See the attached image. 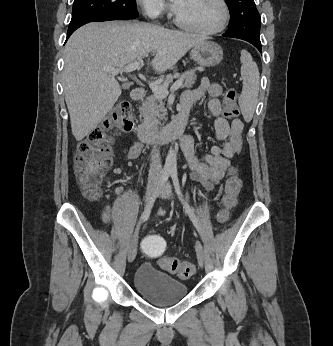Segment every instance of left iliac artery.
<instances>
[{"mask_svg": "<svg viewBox=\"0 0 333 346\" xmlns=\"http://www.w3.org/2000/svg\"><path fill=\"white\" fill-rule=\"evenodd\" d=\"M171 177L174 183V187L176 190V193L181 201V203L183 204L184 209L186 210L187 214L189 215L192 223L194 224V226L197 228V230H199V223L198 220L193 212V210L191 209V207L188 205V203L183 199V195L180 189V184H179V180H178V176H177V169L173 168L171 169Z\"/></svg>", "mask_w": 333, "mask_h": 346, "instance_id": "44dca946", "label": "left iliac artery"}]
</instances>
